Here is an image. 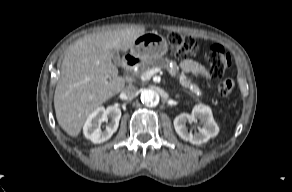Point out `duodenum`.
Returning <instances> with one entry per match:
<instances>
[{
	"label": "duodenum",
	"instance_id": "duodenum-1",
	"mask_svg": "<svg viewBox=\"0 0 292 192\" xmlns=\"http://www.w3.org/2000/svg\"><path fill=\"white\" fill-rule=\"evenodd\" d=\"M140 62L139 58L133 55H127L123 61L124 69L135 67Z\"/></svg>",
	"mask_w": 292,
	"mask_h": 192
}]
</instances>
